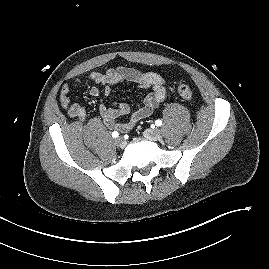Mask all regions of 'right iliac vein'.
Instances as JSON below:
<instances>
[{"label":"right iliac vein","instance_id":"right-iliac-vein-1","mask_svg":"<svg viewBox=\"0 0 269 269\" xmlns=\"http://www.w3.org/2000/svg\"><path fill=\"white\" fill-rule=\"evenodd\" d=\"M115 144L120 148H124L126 146V141L122 137H118L115 139Z\"/></svg>","mask_w":269,"mask_h":269}]
</instances>
